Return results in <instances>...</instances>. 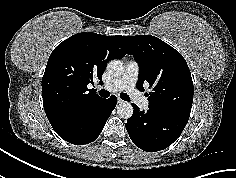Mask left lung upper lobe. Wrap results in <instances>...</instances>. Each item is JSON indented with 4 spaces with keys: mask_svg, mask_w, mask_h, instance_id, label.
Wrapping results in <instances>:
<instances>
[{
    "mask_svg": "<svg viewBox=\"0 0 236 178\" xmlns=\"http://www.w3.org/2000/svg\"><path fill=\"white\" fill-rule=\"evenodd\" d=\"M140 67L138 88L148 82L149 108L189 119L194 87L188 65L173 47L154 36H125Z\"/></svg>",
    "mask_w": 236,
    "mask_h": 178,
    "instance_id": "obj_1",
    "label": "left lung upper lobe"
}]
</instances>
